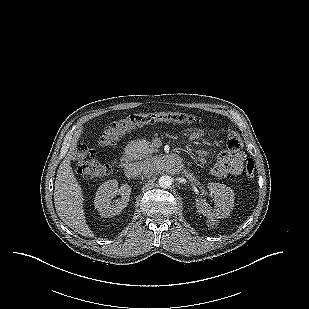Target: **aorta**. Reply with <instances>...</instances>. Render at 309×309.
<instances>
[{
	"instance_id": "obj_1",
	"label": "aorta",
	"mask_w": 309,
	"mask_h": 309,
	"mask_svg": "<svg viewBox=\"0 0 309 309\" xmlns=\"http://www.w3.org/2000/svg\"><path fill=\"white\" fill-rule=\"evenodd\" d=\"M159 186L162 188H169L172 185V178L168 175H162L159 178Z\"/></svg>"
}]
</instances>
